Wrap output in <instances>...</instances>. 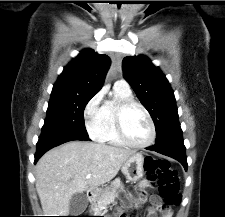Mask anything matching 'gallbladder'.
Wrapping results in <instances>:
<instances>
[{
    "instance_id": "bac80fb5",
    "label": "gallbladder",
    "mask_w": 225,
    "mask_h": 217,
    "mask_svg": "<svg viewBox=\"0 0 225 217\" xmlns=\"http://www.w3.org/2000/svg\"><path fill=\"white\" fill-rule=\"evenodd\" d=\"M88 205V199L83 193H75L69 203V213L71 216H78L83 213Z\"/></svg>"
}]
</instances>
